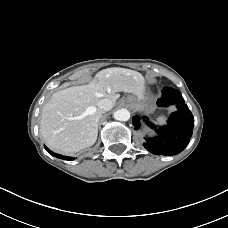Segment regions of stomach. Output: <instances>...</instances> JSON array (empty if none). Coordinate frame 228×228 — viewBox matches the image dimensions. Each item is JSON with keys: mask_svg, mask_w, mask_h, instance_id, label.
Here are the masks:
<instances>
[{"mask_svg": "<svg viewBox=\"0 0 228 228\" xmlns=\"http://www.w3.org/2000/svg\"><path fill=\"white\" fill-rule=\"evenodd\" d=\"M125 104L132 107V108H138L141 106V102L140 99L134 96H128L125 100H124Z\"/></svg>", "mask_w": 228, "mask_h": 228, "instance_id": "stomach-1", "label": "stomach"}]
</instances>
